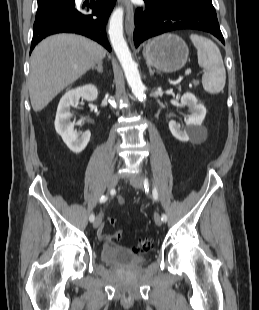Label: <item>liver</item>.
<instances>
[{
  "label": "liver",
  "instance_id": "obj_1",
  "mask_svg": "<svg viewBox=\"0 0 259 310\" xmlns=\"http://www.w3.org/2000/svg\"><path fill=\"white\" fill-rule=\"evenodd\" d=\"M105 56L101 45L80 35L57 34L43 40L31 56L29 95L33 110L41 111Z\"/></svg>",
  "mask_w": 259,
  "mask_h": 310
}]
</instances>
